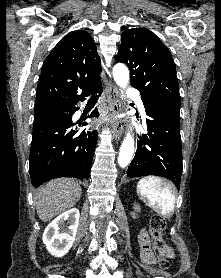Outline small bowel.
I'll return each instance as SVG.
<instances>
[{"label":"small bowel","instance_id":"small-bowel-1","mask_svg":"<svg viewBox=\"0 0 221 278\" xmlns=\"http://www.w3.org/2000/svg\"><path fill=\"white\" fill-rule=\"evenodd\" d=\"M139 244L141 247V256L145 263L152 264L155 262V255L150 249V238L148 232L143 230L139 235ZM167 252L170 256H172V252L167 249Z\"/></svg>","mask_w":221,"mask_h":278}]
</instances>
